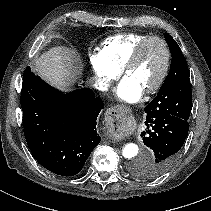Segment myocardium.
Returning <instances> with one entry per match:
<instances>
[{
  "label": "myocardium",
  "instance_id": "f54148a6",
  "mask_svg": "<svg viewBox=\"0 0 211 211\" xmlns=\"http://www.w3.org/2000/svg\"><path fill=\"white\" fill-rule=\"evenodd\" d=\"M150 42H158L161 45L164 51V65H163L162 72L159 78L157 79V81L155 82V84L145 91V93L147 94L156 93L163 86V84L165 83L168 77L170 66H171V52H170L167 42L160 36H156V35L146 36L135 46L134 50L132 51L131 55L129 56V58L127 59L123 67V72L124 74H126L127 71L136 64L141 52L143 51L145 46Z\"/></svg>",
  "mask_w": 211,
  "mask_h": 211
}]
</instances>
